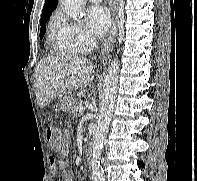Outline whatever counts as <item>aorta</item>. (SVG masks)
<instances>
[{
	"mask_svg": "<svg viewBox=\"0 0 197 181\" xmlns=\"http://www.w3.org/2000/svg\"><path fill=\"white\" fill-rule=\"evenodd\" d=\"M60 2L69 17L75 20L81 17L85 0H60ZM119 71L120 63L116 57L108 67L103 90L100 96V114L97 122V129L93 137L92 159L90 163L93 181H105L104 170L100 163V155L112 119Z\"/></svg>",
	"mask_w": 197,
	"mask_h": 181,
	"instance_id": "762f6f07",
	"label": "aorta"
}]
</instances>
